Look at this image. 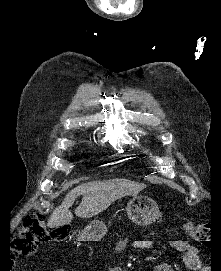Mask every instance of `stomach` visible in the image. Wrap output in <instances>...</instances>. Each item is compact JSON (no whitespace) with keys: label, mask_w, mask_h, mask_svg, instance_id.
I'll use <instances>...</instances> for the list:
<instances>
[{"label":"stomach","mask_w":221,"mask_h":271,"mask_svg":"<svg viewBox=\"0 0 221 271\" xmlns=\"http://www.w3.org/2000/svg\"><path fill=\"white\" fill-rule=\"evenodd\" d=\"M155 207H158V202H154V197H133L127 205V213L137 225H148L155 221L156 213H160V208ZM106 231V225L102 221L94 219L88 223L85 230H80L78 237L98 241Z\"/></svg>","instance_id":"0dacf381"}]
</instances>
